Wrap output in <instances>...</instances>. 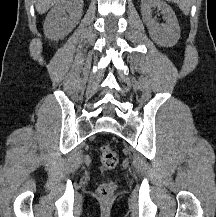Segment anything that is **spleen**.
Masks as SVG:
<instances>
[{
  "mask_svg": "<svg viewBox=\"0 0 216 217\" xmlns=\"http://www.w3.org/2000/svg\"><path fill=\"white\" fill-rule=\"evenodd\" d=\"M166 1L176 3L185 15L189 14L192 5V0H166Z\"/></svg>",
  "mask_w": 216,
  "mask_h": 217,
  "instance_id": "1",
  "label": "spleen"
}]
</instances>
